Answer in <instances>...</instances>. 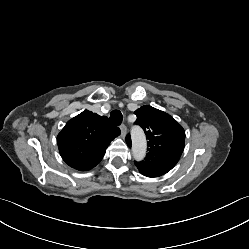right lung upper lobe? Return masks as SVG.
<instances>
[{
    "label": "right lung upper lobe",
    "mask_w": 249,
    "mask_h": 249,
    "mask_svg": "<svg viewBox=\"0 0 249 249\" xmlns=\"http://www.w3.org/2000/svg\"><path fill=\"white\" fill-rule=\"evenodd\" d=\"M120 135L106 116L84 110L68 121L58 134L57 144L62 159L72 168L87 171L103 158L110 142Z\"/></svg>",
    "instance_id": "obj_1"
}]
</instances>
